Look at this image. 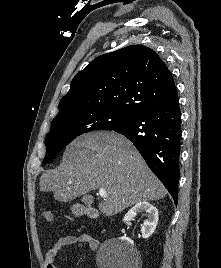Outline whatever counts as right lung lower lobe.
Returning a JSON list of instances; mask_svg holds the SVG:
<instances>
[{
    "mask_svg": "<svg viewBox=\"0 0 221 268\" xmlns=\"http://www.w3.org/2000/svg\"><path fill=\"white\" fill-rule=\"evenodd\" d=\"M181 111L178 99L147 109L116 131L128 138L149 168L178 201Z\"/></svg>",
    "mask_w": 221,
    "mask_h": 268,
    "instance_id": "obj_1",
    "label": "right lung lower lobe"
}]
</instances>
